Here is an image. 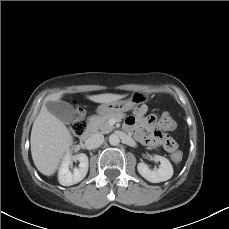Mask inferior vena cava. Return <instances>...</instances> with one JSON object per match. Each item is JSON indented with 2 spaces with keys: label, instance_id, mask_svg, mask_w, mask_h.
<instances>
[{
  "label": "inferior vena cava",
  "instance_id": "obj_1",
  "mask_svg": "<svg viewBox=\"0 0 229 229\" xmlns=\"http://www.w3.org/2000/svg\"><path fill=\"white\" fill-rule=\"evenodd\" d=\"M104 142V136L101 133H94L88 139V144L91 148H97Z\"/></svg>",
  "mask_w": 229,
  "mask_h": 229
}]
</instances>
